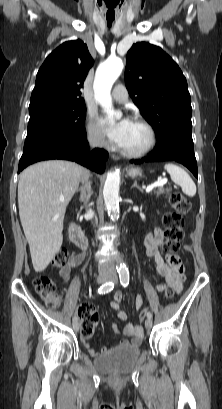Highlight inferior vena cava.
<instances>
[{
    "instance_id": "602c4592",
    "label": "inferior vena cava",
    "mask_w": 222,
    "mask_h": 409,
    "mask_svg": "<svg viewBox=\"0 0 222 409\" xmlns=\"http://www.w3.org/2000/svg\"><path fill=\"white\" fill-rule=\"evenodd\" d=\"M102 139L103 137L100 133H95L93 136L89 137V144L92 148L97 147L101 143ZM80 181L82 182L83 187L86 191L84 202L87 203L92 194L91 182L89 181V172L87 170L82 175ZM88 213L93 217L94 213L92 210H88ZM112 268H113L112 264L107 261L99 264L100 271H106Z\"/></svg>"
}]
</instances>
